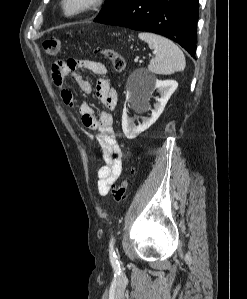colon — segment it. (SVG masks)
I'll use <instances>...</instances> for the list:
<instances>
[{"instance_id": "colon-1", "label": "colon", "mask_w": 247, "mask_h": 299, "mask_svg": "<svg viewBox=\"0 0 247 299\" xmlns=\"http://www.w3.org/2000/svg\"><path fill=\"white\" fill-rule=\"evenodd\" d=\"M43 48L48 55L56 56L60 52L61 43L56 38H48L44 40ZM99 52L111 61L113 69L116 72H123L125 70L126 61L122 54L113 49H102ZM128 186L129 181L125 179L113 190L115 202L121 203L125 200Z\"/></svg>"}]
</instances>
